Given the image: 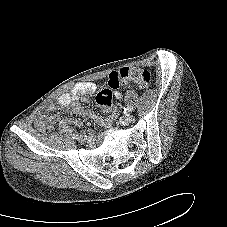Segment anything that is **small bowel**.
<instances>
[{"label":"small bowel","instance_id":"c3829d8e","mask_svg":"<svg viewBox=\"0 0 227 227\" xmlns=\"http://www.w3.org/2000/svg\"><path fill=\"white\" fill-rule=\"evenodd\" d=\"M97 90V85L93 82H79L76 83L69 92H64L60 94L55 103L48 104L43 112L39 115L37 119V127L40 131H46L51 124L56 123L59 120V117L55 114H51L56 110L57 106L68 108L71 113L85 115L91 118L95 123L103 126L110 125V118L104 119L95 112L85 109L80 100H86L84 96L91 95ZM117 98L120 97L119 93L115 94ZM116 110L115 106H111L107 111H104L106 114H113ZM61 124H72L75 126H80L81 123L78 120L74 119H63L60 121Z\"/></svg>","mask_w":227,"mask_h":227}]
</instances>
